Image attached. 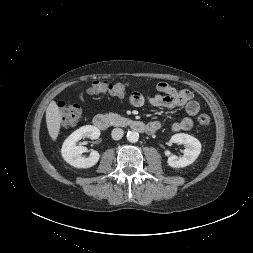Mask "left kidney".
<instances>
[{
	"label": "left kidney",
	"instance_id": "1",
	"mask_svg": "<svg viewBox=\"0 0 253 253\" xmlns=\"http://www.w3.org/2000/svg\"><path fill=\"white\" fill-rule=\"evenodd\" d=\"M170 142L183 144L185 146L182 157L170 155L169 151L165 152V154L169 156L167 163L170 167L173 168H182L192 164L201 152L202 146L200 141L186 133L174 134L173 136H171Z\"/></svg>",
	"mask_w": 253,
	"mask_h": 253
}]
</instances>
